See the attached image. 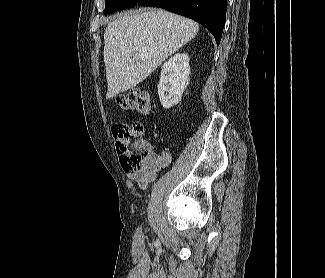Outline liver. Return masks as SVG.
<instances>
[{"instance_id": "liver-1", "label": "liver", "mask_w": 325, "mask_h": 278, "mask_svg": "<svg viewBox=\"0 0 325 278\" xmlns=\"http://www.w3.org/2000/svg\"><path fill=\"white\" fill-rule=\"evenodd\" d=\"M198 31L195 21L162 9L130 11L109 22L103 53L106 98L133 89Z\"/></svg>"}]
</instances>
